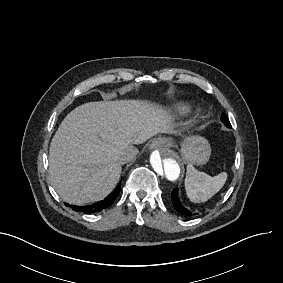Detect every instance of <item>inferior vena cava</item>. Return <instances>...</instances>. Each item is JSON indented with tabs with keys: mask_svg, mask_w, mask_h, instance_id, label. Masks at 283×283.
<instances>
[{
	"mask_svg": "<svg viewBox=\"0 0 283 283\" xmlns=\"http://www.w3.org/2000/svg\"><path fill=\"white\" fill-rule=\"evenodd\" d=\"M138 149L134 146H128L124 151L117 156L116 161L120 164H125L130 161H134L136 159V155L138 154Z\"/></svg>",
	"mask_w": 283,
	"mask_h": 283,
	"instance_id": "1",
	"label": "inferior vena cava"
}]
</instances>
